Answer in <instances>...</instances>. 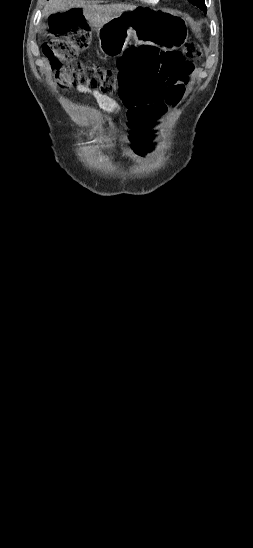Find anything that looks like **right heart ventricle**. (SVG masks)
<instances>
[{
  "label": "right heart ventricle",
  "instance_id": "e07e8e85",
  "mask_svg": "<svg viewBox=\"0 0 253 548\" xmlns=\"http://www.w3.org/2000/svg\"><path fill=\"white\" fill-rule=\"evenodd\" d=\"M142 2H145V3H148V4H156L158 3L160 0H140Z\"/></svg>",
  "mask_w": 253,
  "mask_h": 548
}]
</instances>
